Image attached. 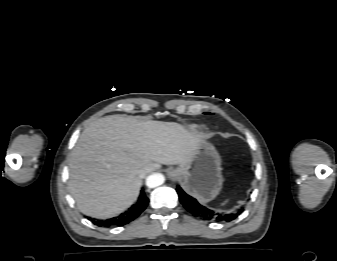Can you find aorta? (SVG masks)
Listing matches in <instances>:
<instances>
[{"label":"aorta","instance_id":"762f6f07","mask_svg":"<svg viewBox=\"0 0 337 261\" xmlns=\"http://www.w3.org/2000/svg\"><path fill=\"white\" fill-rule=\"evenodd\" d=\"M165 181V177L161 173H153L146 179V185L149 188H155L162 185Z\"/></svg>","mask_w":337,"mask_h":261}]
</instances>
